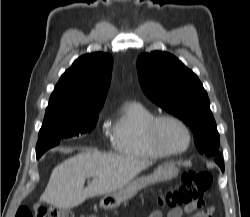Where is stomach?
<instances>
[{
	"label": "stomach",
	"instance_id": "0dacf381",
	"mask_svg": "<svg viewBox=\"0 0 250 217\" xmlns=\"http://www.w3.org/2000/svg\"><path fill=\"white\" fill-rule=\"evenodd\" d=\"M177 174L178 169L175 164H163L155 169L153 174L135 178L124 189L105 195L100 200L99 205L105 210L116 208L120 206V204L134 197L141 189L147 187L148 185L173 178Z\"/></svg>",
	"mask_w": 250,
	"mask_h": 217
}]
</instances>
